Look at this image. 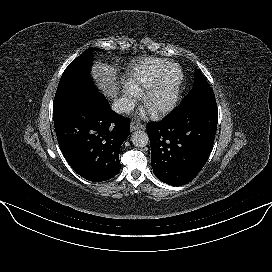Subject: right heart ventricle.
Returning a JSON list of instances; mask_svg holds the SVG:
<instances>
[{
  "instance_id": "right-heart-ventricle-1",
  "label": "right heart ventricle",
  "mask_w": 272,
  "mask_h": 272,
  "mask_svg": "<svg viewBox=\"0 0 272 272\" xmlns=\"http://www.w3.org/2000/svg\"><path fill=\"white\" fill-rule=\"evenodd\" d=\"M170 64L169 61L158 58H146L135 64L125 78V87L141 93L148 88Z\"/></svg>"
}]
</instances>
